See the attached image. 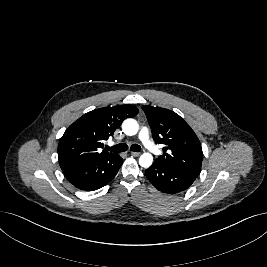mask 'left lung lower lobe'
I'll return each instance as SVG.
<instances>
[{"label": "left lung lower lobe", "instance_id": "1", "mask_svg": "<svg viewBox=\"0 0 267 267\" xmlns=\"http://www.w3.org/2000/svg\"><path fill=\"white\" fill-rule=\"evenodd\" d=\"M145 175L155 188L167 194L188 189L197 178L191 174L164 167L155 161L145 170Z\"/></svg>", "mask_w": 267, "mask_h": 267}]
</instances>
